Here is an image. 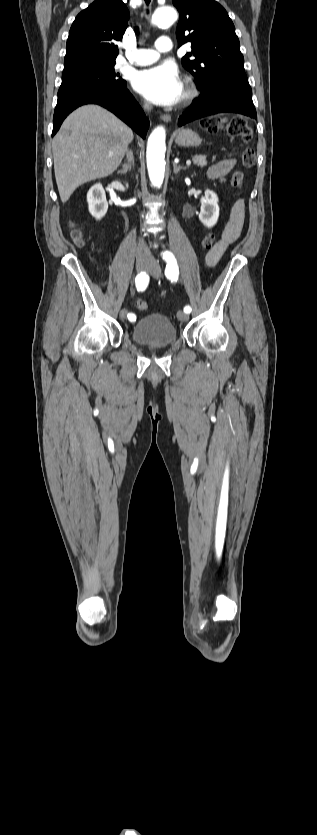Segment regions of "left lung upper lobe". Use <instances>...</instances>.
Returning a JSON list of instances; mask_svg holds the SVG:
<instances>
[{"label":"left lung upper lobe","mask_w":317,"mask_h":835,"mask_svg":"<svg viewBox=\"0 0 317 835\" xmlns=\"http://www.w3.org/2000/svg\"><path fill=\"white\" fill-rule=\"evenodd\" d=\"M179 11L178 46L190 42L192 51L182 65L196 78L200 90L212 89L219 76L245 74L235 27L226 10L213 0H172Z\"/></svg>","instance_id":"left-lung-upper-lobe-1"}]
</instances>
